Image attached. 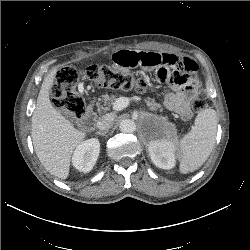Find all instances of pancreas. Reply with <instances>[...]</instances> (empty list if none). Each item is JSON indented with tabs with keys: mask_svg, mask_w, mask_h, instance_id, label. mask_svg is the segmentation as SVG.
<instances>
[{
	"mask_svg": "<svg viewBox=\"0 0 250 250\" xmlns=\"http://www.w3.org/2000/svg\"><path fill=\"white\" fill-rule=\"evenodd\" d=\"M115 100H116V96H114V95H111V96H109L108 94L103 95L102 99H100V101H102L103 104H100L99 102L96 103L98 110L99 111L100 110H103V111L109 110L110 106L114 103ZM146 103L152 111H156L157 109H160L161 112L163 111V108H161V105L157 104L154 99H148L146 101ZM170 129L172 130V132L174 134H176V129H175L174 125L170 124Z\"/></svg>",
	"mask_w": 250,
	"mask_h": 250,
	"instance_id": "cf45deb5",
	"label": "pancreas"
}]
</instances>
